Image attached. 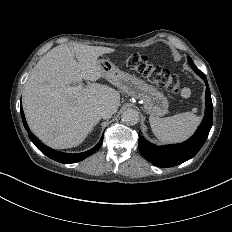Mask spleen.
Listing matches in <instances>:
<instances>
[{"mask_svg": "<svg viewBox=\"0 0 232 232\" xmlns=\"http://www.w3.org/2000/svg\"><path fill=\"white\" fill-rule=\"evenodd\" d=\"M200 117L192 112H183L170 117L150 116L154 134L162 141H182L192 134Z\"/></svg>", "mask_w": 232, "mask_h": 232, "instance_id": "obj_1", "label": "spleen"}]
</instances>
